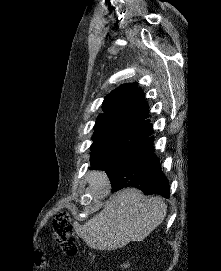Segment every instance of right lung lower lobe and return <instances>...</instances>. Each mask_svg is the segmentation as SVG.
I'll use <instances>...</instances> for the list:
<instances>
[{
    "instance_id": "right-lung-lower-lobe-1",
    "label": "right lung lower lobe",
    "mask_w": 221,
    "mask_h": 271,
    "mask_svg": "<svg viewBox=\"0 0 221 271\" xmlns=\"http://www.w3.org/2000/svg\"><path fill=\"white\" fill-rule=\"evenodd\" d=\"M150 130L143 143L127 158L104 170L112 184V192L135 187L145 195L169 198L170 187L161 171L159 160L153 153V137Z\"/></svg>"
}]
</instances>
